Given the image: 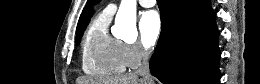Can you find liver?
<instances>
[{"label":"liver","mask_w":260,"mask_h":84,"mask_svg":"<svg viewBox=\"0 0 260 84\" xmlns=\"http://www.w3.org/2000/svg\"><path fill=\"white\" fill-rule=\"evenodd\" d=\"M85 82L86 84H149L146 79H139V76L136 73L107 77L98 80L88 79L85 80Z\"/></svg>","instance_id":"1"}]
</instances>
